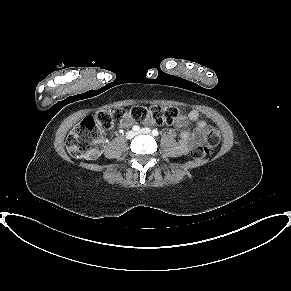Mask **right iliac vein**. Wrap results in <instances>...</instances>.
<instances>
[{"mask_svg": "<svg viewBox=\"0 0 291 291\" xmlns=\"http://www.w3.org/2000/svg\"><path fill=\"white\" fill-rule=\"evenodd\" d=\"M135 135H136V133L134 131H128L126 133V138L127 139H132Z\"/></svg>", "mask_w": 291, "mask_h": 291, "instance_id": "63e3f726", "label": "right iliac vein"}]
</instances>
